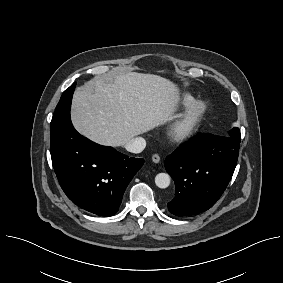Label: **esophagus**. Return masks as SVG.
<instances>
[{
  "mask_svg": "<svg viewBox=\"0 0 283 283\" xmlns=\"http://www.w3.org/2000/svg\"><path fill=\"white\" fill-rule=\"evenodd\" d=\"M152 161H153L154 163H159V162H160V156H159L158 154H154V155L152 156Z\"/></svg>",
  "mask_w": 283,
  "mask_h": 283,
  "instance_id": "obj_1",
  "label": "esophagus"
}]
</instances>
